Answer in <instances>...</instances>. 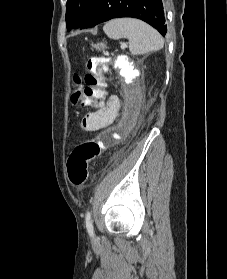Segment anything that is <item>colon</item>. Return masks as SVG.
<instances>
[{"instance_id":"obj_1","label":"colon","mask_w":227,"mask_h":279,"mask_svg":"<svg viewBox=\"0 0 227 279\" xmlns=\"http://www.w3.org/2000/svg\"><path fill=\"white\" fill-rule=\"evenodd\" d=\"M74 81L79 85L80 77L75 76ZM106 83L102 59L90 58L87 62L84 86L72 95L71 101L81 107L90 105L104 96ZM104 151L105 141L101 137L80 143L74 148L67 162L68 177L74 186L80 187L85 183L89 162L100 157Z\"/></svg>"}]
</instances>
